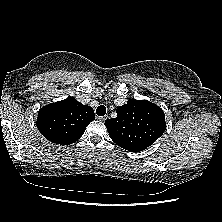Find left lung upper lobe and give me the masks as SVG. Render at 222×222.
<instances>
[{
	"mask_svg": "<svg viewBox=\"0 0 222 222\" xmlns=\"http://www.w3.org/2000/svg\"><path fill=\"white\" fill-rule=\"evenodd\" d=\"M117 117L107 119L110 138L128 151H142L152 145L165 131L163 110L147 100L130 99L116 110Z\"/></svg>",
	"mask_w": 222,
	"mask_h": 222,
	"instance_id": "1",
	"label": "left lung upper lobe"
}]
</instances>
